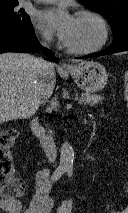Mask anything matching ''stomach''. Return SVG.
<instances>
[{"label": "stomach", "instance_id": "0dacf381", "mask_svg": "<svg viewBox=\"0 0 128 213\" xmlns=\"http://www.w3.org/2000/svg\"><path fill=\"white\" fill-rule=\"evenodd\" d=\"M70 75L79 88L94 93L104 88L108 75L103 65L94 61H83L69 69Z\"/></svg>", "mask_w": 128, "mask_h": 213}]
</instances>
